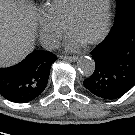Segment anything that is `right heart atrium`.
<instances>
[{
	"instance_id": "1",
	"label": "right heart atrium",
	"mask_w": 135,
	"mask_h": 135,
	"mask_svg": "<svg viewBox=\"0 0 135 135\" xmlns=\"http://www.w3.org/2000/svg\"><path fill=\"white\" fill-rule=\"evenodd\" d=\"M39 36L47 46H55L63 37V29L47 17L38 18Z\"/></svg>"
}]
</instances>
